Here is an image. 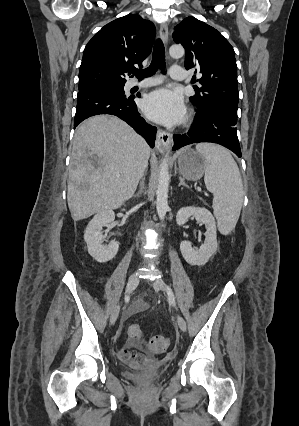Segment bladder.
I'll use <instances>...</instances> for the list:
<instances>
[{
    "mask_svg": "<svg viewBox=\"0 0 299 426\" xmlns=\"http://www.w3.org/2000/svg\"><path fill=\"white\" fill-rule=\"evenodd\" d=\"M163 374L162 370L152 372H131L124 371L123 376L134 382H150L158 379Z\"/></svg>",
    "mask_w": 299,
    "mask_h": 426,
    "instance_id": "1",
    "label": "bladder"
}]
</instances>
